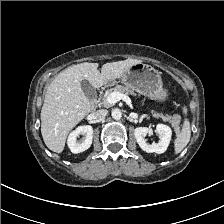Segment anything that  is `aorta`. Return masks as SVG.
<instances>
[{
	"mask_svg": "<svg viewBox=\"0 0 224 224\" xmlns=\"http://www.w3.org/2000/svg\"><path fill=\"white\" fill-rule=\"evenodd\" d=\"M111 115H112V118H114L115 120H120L122 117V112L120 109L116 108L112 110Z\"/></svg>",
	"mask_w": 224,
	"mask_h": 224,
	"instance_id": "obj_1",
	"label": "aorta"
}]
</instances>
